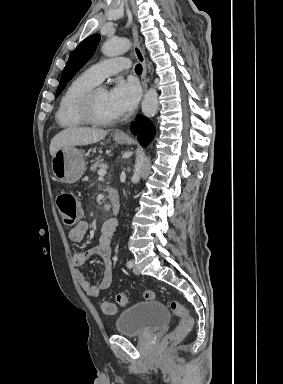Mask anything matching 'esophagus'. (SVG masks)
<instances>
[{"mask_svg": "<svg viewBox=\"0 0 283 384\" xmlns=\"http://www.w3.org/2000/svg\"><path fill=\"white\" fill-rule=\"evenodd\" d=\"M133 40H134V45H133L134 54H135L138 62H140V64L142 65L141 82H142V86H143V91H144V93H146V91L148 89V85H147V81H146V74H147L146 60H145L144 54H143L141 47H140L139 36H138V31H137L136 25H133ZM114 135L117 137H124V138L127 137L126 133L123 132V130L116 131Z\"/></svg>", "mask_w": 283, "mask_h": 384, "instance_id": "obj_1", "label": "esophagus"}]
</instances>
